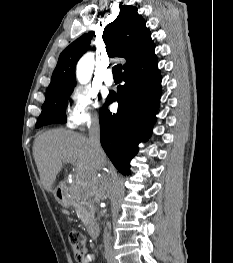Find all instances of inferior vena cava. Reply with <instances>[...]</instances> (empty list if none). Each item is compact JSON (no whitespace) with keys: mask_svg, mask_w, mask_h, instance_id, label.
I'll use <instances>...</instances> for the list:
<instances>
[{"mask_svg":"<svg viewBox=\"0 0 233 263\" xmlns=\"http://www.w3.org/2000/svg\"><path fill=\"white\" fill-rule=\"evenodd\" d=\"M89 141L90 144L95 152V159L98 162L99 160V153L102 151L101 145H100V125H99V119L97 116H93L90 120L89 125ZM91 185L94 184V182L89 181ZM84 184H87L86 182ZM103 243H104V249L105 254L107 258L108 263H117L115 256L113 254V250L110 244V235L107 231V228L104 229L103 234Z\"/></svg>","mask_w":233,"mask_h":263,"instance_id":"obj_1","label":"inferior vena cava"}]
</instances>
